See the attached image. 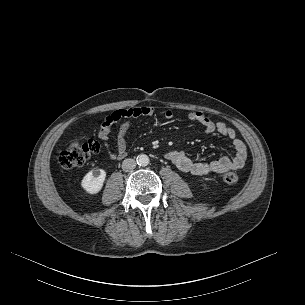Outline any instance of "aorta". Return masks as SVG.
<instances>
[{
    "instance_id": "762f6f07",
    "label": "aorta",
    "mask_w": 305,
    "mask_h": 305,
    "mask_svg": "<svg viewBox=\"0 0 305 305\" xmlns=\"http://www.w3.org/2000/svg\"><path fill=\"white\" fill-rule=\"evenodd\" d=\"M136 161L140 166H147L149 164V157L146 154H140L137 156Z\"/></svg>"
}]
</instances>
